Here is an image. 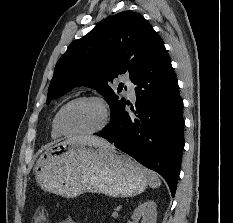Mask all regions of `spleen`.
Wrapping results in <instances>:
<instances>
[{"instance_id":"3e777b00","label":"spleen","mask_w":233,"mask_h":223,"mask_svg":"<svg viewBox=\"0 0 233 223\" xmlns=\"http://www.w3.org/2000/svg\"><path fill=\"white\" fill-rule=\"evenodd\" d=\"M147 177L149 179V185L150 187H159L161 185L160 177H158L157 173L155 171H147Z\"/></svg>"}]
</instances>
